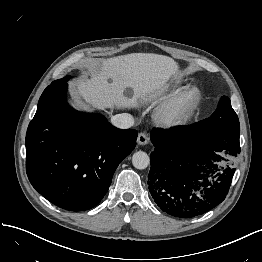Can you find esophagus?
Masks as SVG:
<instances>
[{
	"instance_id": "1",
	"label": "esophagus",
	"mask_w": 262,
	"mask_h": 262,
	"mask_svg": "<svg viewBox=\"0 0 262 262\" xmlns=\"http://www.w3.org/2000/svg\"><path fill=\"white\" fill-rule=\"evenodd\" d=\"M137 142L139 145H146L149 142V137L146 133L141 132L137 137Z\"/></svg>"
}]
</instances>
